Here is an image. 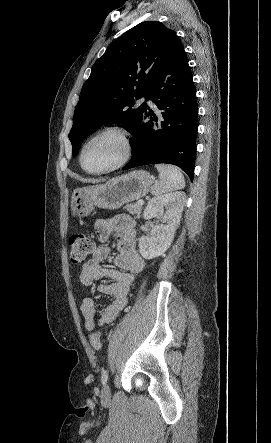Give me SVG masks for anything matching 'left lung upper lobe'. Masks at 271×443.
I'll return each mask as SVG.
<instances>
[{
    "label": "left lung upper lobe",
    "instance_id": "1",
    "mask_svg": "<svg viewBox=\"0 0 271 443\" xmlns=\"http://www.w3.org/2000/svg\"><path fill=\"white\" fill-rule=\"evenodd\" d=\"M178 36L157 21L142 22L131 28L106 49L94 63L75 108L68 135L75 157L82 141L98 127L117 123L133 134L143 117L151 80L174 49Z\"/></svg>",
    "mask_w": 271,
    "mask_h": 443
}]
</instances>
